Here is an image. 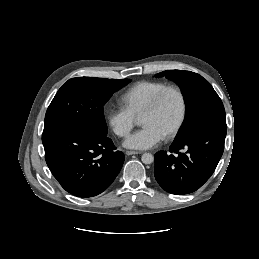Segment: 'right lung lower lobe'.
I'll list each match as a JSON object with an SVG mask.
<instances>
[{"label": "right lung lower lobe", "instance_id": "1", "mask_svg": "<svg viewBox=\"0 0 259 259\" xmlns=\"http://www.w3.org/2000/svg\"><path fill=\"white\" fill-rule=\"evenodd\" d=\"M42 142L51 173L78 197H92L108 188L125 159L106 134L79 125L44 129Z\"/></svg>", "mask_w": 259, "mask_h": 259}]
</instances>
